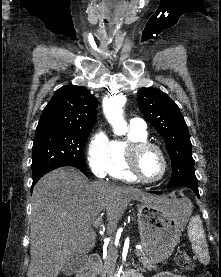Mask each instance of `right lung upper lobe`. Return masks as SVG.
I'll use <instances>...</instances> for the list:
<instances>
[{
  "mask_svg": "<svg viewBox=\"0 0 221 277\" xmlns=\"http://www.w3.org/2000/svg\"><path fill=\"white\" fill-rule=\"evenodd\" d=\"M97 107V98L87 88L63 86L44 108L37 129L92 128L97 118Z\"/></svg>",
  "mask_w": 221,
  "mask_h": 277,
  "instance_id": "1",
  "label": "right lung upper lobe"
}]
</instances>
